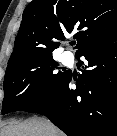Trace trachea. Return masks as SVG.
Returning <instances> with one entry per match:
<instances>
[{
    "label": "trachea",
    "instance_id": "obj_1",
    "mask_svg": "<svg viewBox=\"0 0 117 136\" xmlns=\"http://www.w3.org/2000/svg\"><path fill=\"white\" fill-rule=\"evenodd\" d=\"M72 45H75V42H72Z\"/></svg>",
    "mask_w": 117,
    "mask_h": 136
}]
</instances>
